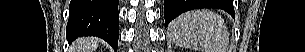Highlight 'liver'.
<instances>
[{"mask_svg": "<svg viewBox=\"0 0 305 52\" xmlns=\"http://www.w3.org/2000/svg\"><path fill=\"white\" fill-rule=\"evenodd\" d=\"M98 43L99 40L97 38H81L76 41V49L78 52H95L98 47Z\"/></svg>", "mask_w": 305, "mask_h": 52, "instance_id": "liver-1", "label": "liver"}]
</instances>
